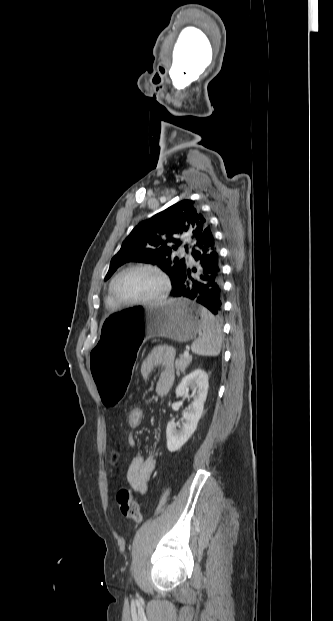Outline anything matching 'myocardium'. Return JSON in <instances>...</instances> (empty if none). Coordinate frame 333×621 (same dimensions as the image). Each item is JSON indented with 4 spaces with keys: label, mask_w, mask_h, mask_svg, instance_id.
<instances>
[{
    "label": "myocardium",
    "mask_w": 333,
    "mask_h": 621,
    "mask_svg": "<svg viewBox=\"0 0 333 621\" xmlns=\"http://www.w3.org/2000/svg\"><path fill=\"white\" fill-rule=\"evenodd\" d=\"M135 270H145V271H151L155 274H157L159 276V278L161 279L162 283H163V290L162 292L153 298H149V299H141V300H131V301H126V300H122L121 298L118 297V295L115 292V284L117 282V280L123 276L124 274L131 272V271H135ZM171 290V282L170 279L168 277V275L157 265H153V264H148V263H139V264H134V265H130L124 269H122L111 281L110 285H109V293L113 299V301L115 302V304L117 306H137V305H152V304H158L162 301H164Z\"/></svg>",
    "instance_id": "f54148a6"
}]
</instances>
